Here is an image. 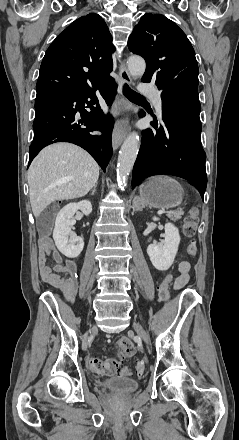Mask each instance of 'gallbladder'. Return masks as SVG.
Segmentation results:
<instances>
[{"label": "gallbladder", "mask_w": 239, "mask_h": 440, "mask_svg": "<svg viewBox=\"0 0 239 440\" xmlns=\"http://www.w3.org/2000/svg\"><path fill=\"white\" fill-rule=\"evenodd\" d=\"M37 224H38V226H39V224H41V226H46L45 214H41V216H39V218H37Z\"/></svg>", "instance_id": "1"}]
</instances>
